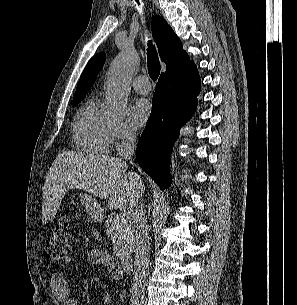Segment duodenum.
Instances as JSON below:
<instances>
[{
	"instance_id": "obj_1",
	"label": "duodenum",
	"mask_w": 297,
	"mask_h": 305,
	"mask_svg": "<svg viewBox=\"0 0 297 305\" xmlns=\"http://www.w3.org/2000/svg\"><path fill=\"white\" fill-rule=\"evenodd\" d=\"M121 266L125 272H131L133 266V259L130 256H122Z\"/></svg>"
}]
</instances>
